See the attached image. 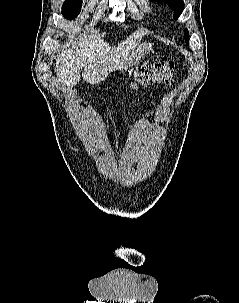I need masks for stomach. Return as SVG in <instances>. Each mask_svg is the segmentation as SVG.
<instances>
[{"mask_svg": "<svg viewBox=\"0 0 239 303\" xmlns=\"http://www.w3.org/2000/svg\"><path fill=\"white\" fill-rule=\"evenodd\" d=\"M148 48V45L143 44L131 51L125 62V68L127 69L133 67L136 63H138L141 58L148 52Z\"/></svg>", "mask_w": 239, "mask_h": 303, "instance_id": "0dacf381", "label": "stomach"}]
</instances>
